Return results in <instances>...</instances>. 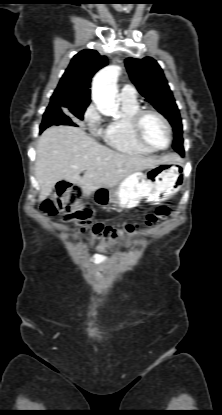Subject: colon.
Segmentation results:
<instances>
[{"mask_svg": "<svg viewBox=\"0 0 222 415\" xmlns=\"http://www.w3.org/2000/svg\"><path fill=\"white\" fill-rule=\"evenodd\" d=\"M80 198L81 190L78 186L66 181L59 182L53 195L43 204V211L48 215L63 214L66 221L78 224L84 230H89L94 236L103 237V249L108 248L111 240L134 233L137 230L134 225L117 228L101 222L92 223L90 220L91 210L81 204ZM168 214L167 208L160 207L154 213L147 215L146 224L153 225Z\"/></svg>", "mask_w": 222, "mask_h": 415, "instance_id": "1", "label": "colon"}]
</instances>
